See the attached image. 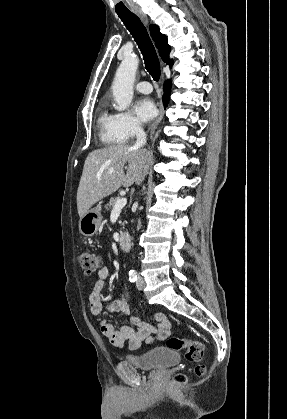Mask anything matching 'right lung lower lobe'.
I'll return each mask as SVG.
<instances>
[{
	"mask_svg": "<svg viewBox=\"0 0 287 419\" xmlns=\"http://www.w3.org/2000/svg\"><path fill=\"white\" fill-rule=\"evenodd\" d=\"M170 87H171V83H170V81H167L165 84H164V96H163V104H164V107L166 108V106H167V104H168V102H169V97H170Z\"/></svg>",
	"mask_w": 287,
	"mask_h": 419,
	"instance_id": "right-lung-lower-lobe-1",
	"label": "right lung lower lobe"
}]
</instances>
